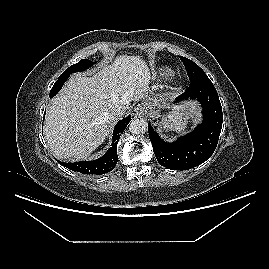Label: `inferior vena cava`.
I'll return each instance as SVG.
<instances>
[{
  "instance_id": "obj_1",
  "label": "inferior vena cava",
  "mask_w": 269,
  "mask_h": 269,
  "mask_svg": "<svg viewBox=\"0 0 269 269\" xmlns=\"http://www.w3.org/2000/svg\"><path fill=\"white\" fill-rule=\"evenodd\" d=\"M126 108L123 106H115L109 112V119L112 122L117 121L125 114Z\"/></svg>"
}]
</instances>
